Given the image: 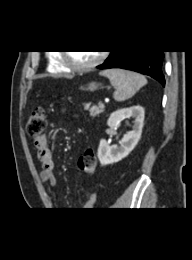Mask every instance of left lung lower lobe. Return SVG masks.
Wrapping results in <instances>:
<instances>
[{"label": "left lung lower lobe", "mask_w": 192, "mask_h": 260, "mask_svg": "<svg viewBox=\"0 0 192 260\" xmlns=\"http://www.w3.org/2000/svg\"><path fill=\"white\" fill-rule=\"evenodd\" d=\"M163 59L164 51L161 50H120L113 51L105 62L97 66V68H122L136 71L151 76L164 86L165 77L162 72Z\"/></svg>", "instance_id": "left-lung-lower-lobe-1"}]
</instances>
